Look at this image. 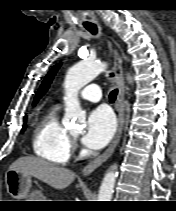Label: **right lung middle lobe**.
<instances>
[{"mask_svg": "<svg viewBox=\"0 0 176 211\" xmlns=\"http://www.w3.org/2000/svg\"><path fill=\"white\" fill-rule=\"evenodd\" d=\"M25 127H26V126L24 125V126H23V129H22V132L24 131Z\"/></svg>", "mask_w": 176, "mask_h": 211, "instance_id": "obj_1", "label": "right lung middle lobe"}]
</instances>
